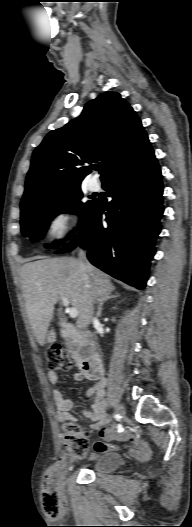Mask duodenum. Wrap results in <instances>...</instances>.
I'll return each instance as SVG.
<instances>
[{"instance_id":"410a0bca","label":"duodenum","mask_w":192,"mask_h":527,"mask_svg":"<svg viewBox=\"0 0 192 527\" xmlns=\"http://www.w3.org/2000/svg\"><path fill=\"white\" fill-rule=\"evenodd\" d=\"M62 334L71 340H82V335L70 323H64L62 325ZM76 356L79 367L86 376L98 380L103 379L100 357L92 347H89L85 351L78 352Z\"/></svg>"}]
</instances>
